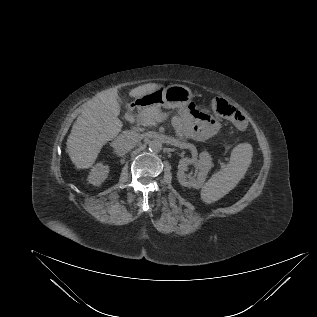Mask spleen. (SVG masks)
<instances>
[{"label": "spleen", "mask_w": 317, "mask_h": 317, "mask_svg": "<svg viewBox=\"0 0 317 317\" xmlns=\"http://www.w3.org/2000/svg\"><path fill=\"white\" fill-rule=\"evenodd\" d=\"M252 154L250 144L237 145L232 150L230 161L226 167L213 174L202 187V201L211 204L232 190L245 175L251 163Z\"/></svg>", "instance_id": "spleen-1"}]
</instances>
